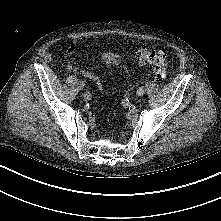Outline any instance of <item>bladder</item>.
<instances>
[{
  "instance_id": "obj_1",
  "label": "bladder",
  "mask_w": 221,
  "mask_h": 221,
  "mask_svg": "<svg viewBox=\"0 0 221 221\" xmlns=\"http://www.w3.org/2000/svg\"><path fill=\"white\" fill-rule=\"evenodd\" d=\"M104 62L106 65L110 66L117 62L116 57L113 54H106L104 56Z\"/></svg>"
}]
</instances>
